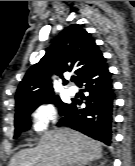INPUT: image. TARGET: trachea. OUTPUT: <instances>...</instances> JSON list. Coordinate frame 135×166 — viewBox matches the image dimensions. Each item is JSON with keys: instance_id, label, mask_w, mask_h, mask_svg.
Masks as SVG:
<instances>
[{"instance_id": "3493384b", "label": "trachea", "mask_w": 135, "mask_h": 166, "mask_svg": "<svg viewBox=\"0 0 135 166\" xmlns=\"http://www.w3.org/2000/svg\"><path fill=\"white\" fill-rule=\"evenodd\" d=\"M71 80H72V81H75V80H76V77L73 76Z\"/></svg>"}]
</instances>
